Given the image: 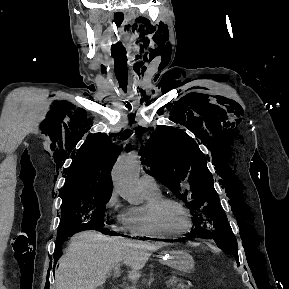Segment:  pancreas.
Wrapping results in <instances>:
<instances>
[{
    "mask_svg": "<svg viewBox=\"0 0 289 289\" xmlns=\"http://www.w3.org/2000/svg\"><path fill=\"white\" fill-rule=\"evenodd\" d=\"M167 283L173 286V289H190L189 286L185 285L184 283L178 282L176 277L170 278Z\"/></svg>",
    "mask_w": 289,
    "mask_h": 289,
    "instance_id": "obj_1",
    "label": "pancreas"
}]
</instances>
